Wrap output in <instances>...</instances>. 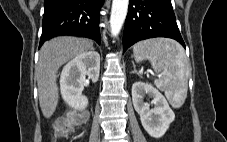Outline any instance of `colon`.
<instances>
[{"label": "colon", "instance_id": "obj_1", "mask_svg": "<svg viewBox=\"0 0 227 142\" xmlns=\"http://www.w3.org/2000/svg\"><path fill=\"white\" fill-rule=\"evenodd\" d=\"M82 122V118L78 116H71L68 118L58 119L54 124V133L58 138L68 136L76 125Z\"/></svg>", "mask_w": 227, "mask_h": 142}]
</instances>
